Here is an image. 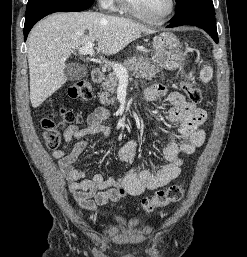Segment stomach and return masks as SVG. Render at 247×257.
Returning a JSON list of instances; mask_svg holds the SVG:
<instances>
[{
	"instance_id": "obj_1",
	"label": "stomach",
	"mask_w": 247,
	"mask_h": 257,
	"mask_svg": "<svg viewBox=\"0 0 247 257\" xmlns=\"http://www.w3.org/2000/svg\"><path fill=\"white\" fill-rule=\"evenodd\" d=\"M153 51V59L168 70L178 69L184 61L182 43L170 32L161 33L154 38Z\"/></svg>"
}]
</instances>
